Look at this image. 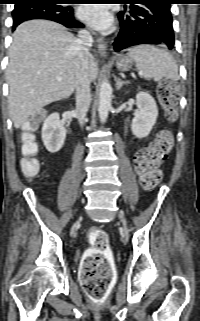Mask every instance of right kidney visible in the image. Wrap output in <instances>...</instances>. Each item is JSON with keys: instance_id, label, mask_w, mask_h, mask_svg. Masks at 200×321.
Wrapping results in <instances>:
<instances>
[{"instance_id": "ca27d5eb", "label": "right kidney", "mask_w": 200, "mask_h": 321, "mask_svg": "<svg viewBox=\"0 0 200 321\" xmlns=\"http://www.w3.org/2000/svg\"><path fill=\"white\" fill-rule=\"evenodd\" d=\"M66 129L60 121L59 113L49 115L42 127V141L46 149L55 153L58 152L65 141Z\"/></svg>"}]
</instances>
